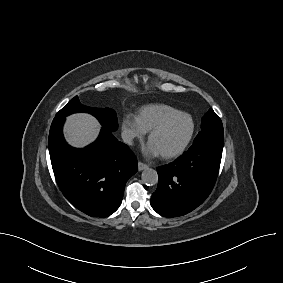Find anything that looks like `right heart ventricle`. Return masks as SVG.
I'll list each match as a JSON object with an SVG mask.
<instances>
[{"instance_id":"right-heart-ventricle-1","label":"right heart ventricle","mask_w":283,"mask_h":283,"mask_svg":"<svg viewBox=\"0 0 283 283\" xmlns=\"http://www.w3.org/2000/svg\"><path fill=\"white\" fill-rule=\"evenodd\" d=\"M177 111L179 110L169 105L149 104L139 110L137 117L142 127L149 131L163 117Z\"/></svg>"}]
</instances>
